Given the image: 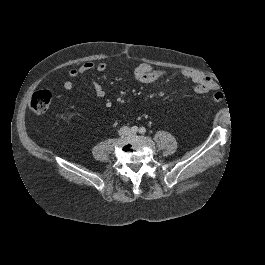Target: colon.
Returning a JSON list of instances; mask_svg holds the SVG:
<instances>
[{
	"label": "colon",
	"mask_w": 265,
	"mask_h": 265,
	"mask_svg": "<svg viewBox=\"0 0 265 265\" xmlns=\"http://www.w3.org/2000/svg\"><path fill=\"white\" fill-rule=\"evenodd\" d=\"M225 95L223 92H216L212 96V100L215 102H220L224 99ZM52 95L48 90H40L33 94L30 107L36 113L45 112L50 103H51Z\"/></svg>",
	"instance_id": "5ec220e1"
}]
</instances>
